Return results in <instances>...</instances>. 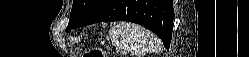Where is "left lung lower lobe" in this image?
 Masks as SVG:
<instances>
[{
  "label": "left lung lower lobe",
  "instance_id": "0a47b994",
  "mask_svg": "<svg viewBox=\"0 0 249 57\" xmlns=\"http://www.w3.org/2000/svg\"><path fill=\"white\" fill-rule=\"evenodd\" d=\"M173 19L172 0H109L98 13L80 26L101 21L135 22L156 33L168 49Z\"/></svg>",
  "mask_w": 249,
  "mask_h": 57
}]
</instances>
